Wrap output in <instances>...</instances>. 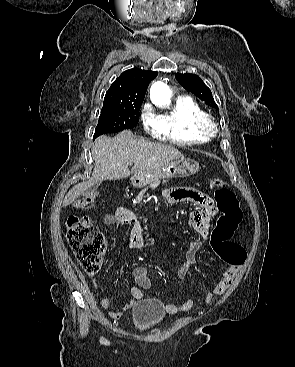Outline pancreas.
Wrapping results in <instances>:
<instances>
[{"label":"pancreas","instance_id":"1","mask_svg":"<svg viewBox=\"0 0 295 367\" xmlns=\"http://www.w3.org/2000/svg\"><path fill=\"white\" fill-rule=\"evenodd\" d=\"M163 182L165 183L166 181L164 180ZM159 184H160V181H159V180H157V181L153 182V183L150 185V187H152V188H156L157 186H159ZM146 190H147V188H146V189H144V190H142V191L140 192V194L138 195V199H139V200H140V199H142V197H143L144 193L146 192Z\"/></svg>","mask_w":295,"mask_h":367}]
</instances>
